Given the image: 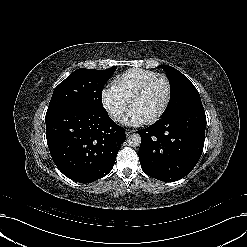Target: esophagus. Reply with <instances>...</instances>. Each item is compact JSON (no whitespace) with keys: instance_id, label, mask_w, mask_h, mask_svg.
I'll list each match as a JSON object with an SVG mask.
<instances>
[{"instance_id":"esophagus-1","label":"esophagus","mask_w":247,"mask_h":247,"mask_svg":"<svg viewBox=\"0 0 247 247\" xmlns=\"http://www.w3.org/2000/svg\"><path fill=\"white\" fill-rule=\"evenodd\" d=\"M135 132L133 129H127L126 134L127 136L130 135L131 133Z\"/></svg>"}]
</instances>
